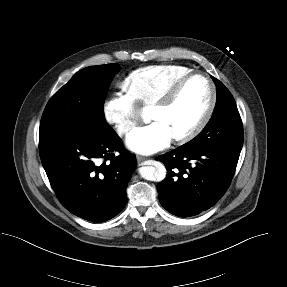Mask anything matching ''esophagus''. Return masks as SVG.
<instances>
[{"label":"esophagus","mask_w":287,"mask_h":287,"mask_svg":"<svg viewBox=\"0 0 287 287\" xmlns=\"http://www.w3.org/2000/svg\"><path fill=\"white\" fill-rule=\"evenodd\" d=\"M136 158H137L138 163H141V162H143V161H145V160H146V158H145V157H143V156H139V155H138Z\"/></svg>","instance_id":"esophagus-1"}]
</instances>
